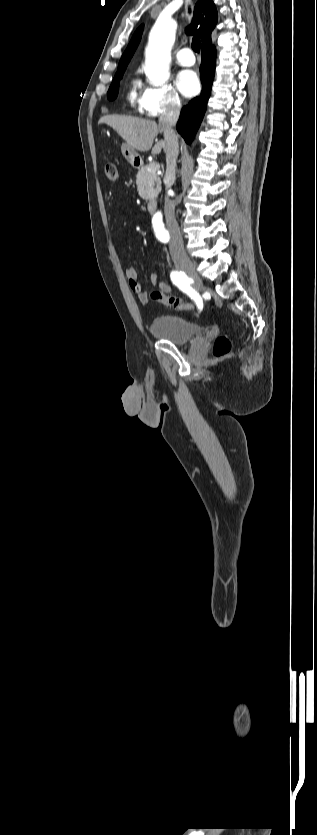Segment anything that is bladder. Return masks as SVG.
<instances>
[{
    "mask_svg": "<svg viewBox=\"0 0 317 835\" xmlns=\"http://www.w3.org/2000/svg\"><path fill=\"white\" fill-rule=\"evenodd\" d=\"M150 329L153 336L176 345L187 344L202 334L198 324L175 315L157 317Z\"/></svg>",
    "mask_w": 317,
    "mask_h": 835,
    "instance_id": "1",
    "label": "bladder"
}]
</instances>
